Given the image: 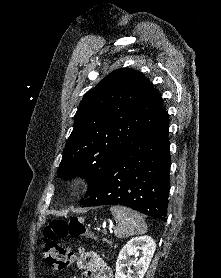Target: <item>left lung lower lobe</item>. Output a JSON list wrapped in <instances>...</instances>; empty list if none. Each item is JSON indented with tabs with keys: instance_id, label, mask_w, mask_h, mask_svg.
<instances>
[{
	"instance_id": "1",
	"label": "left lung lower lobe",
	"mask_w": 221,
	"mask_h": 278,
	"mask_svg": "<svg viewBox=\"0 0 221 278\" xmlns=\"http://www.w3.org/2000/svg\"><path fill=\"white\" fill-rule=\"evenodd\" d=\"M168 128L165 113L116 156L81 204L123 205L166 222L171 163Z\"/></svg>"
}]
</instances>
